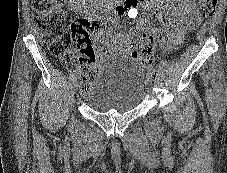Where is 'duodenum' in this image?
<instances>
[{
  "label": "duodenum",
  "mask_w": 227,
  "mask_h": 173,
  "mask_svg": "<svg viewBox=\"0 0 227 173\" xmlns=\"http://www.w3.org/2000/svg\"><path fill=\"white\" fill-rule=\"evenodd\" d=\"M102 10L106 16L120 14L130 0H102Z\"/></svg>",
  "instance_id": "obj_1"
}]
</instances>
